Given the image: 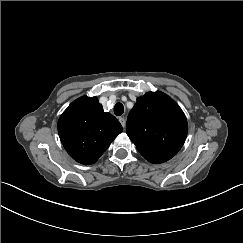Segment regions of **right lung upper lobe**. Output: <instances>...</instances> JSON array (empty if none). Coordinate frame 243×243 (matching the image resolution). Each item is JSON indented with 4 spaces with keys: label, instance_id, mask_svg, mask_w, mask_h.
Returning <instances> with one entry per match:
<instances>
[{
    "label": "right lung upper lobe",
    "instance_id": "1",
    "mask_svg": "<svg viewBox=\"0 0 243 243\" xmlns=\"http://www.w3.org/2000/svg\"><path fill=\"white\" fill-rule=\"evenodd\" d=\"M60 140L77 162L95 163L122 132L119 121L104 112L96 97L82 96L72 102L58 121Z\"/></svg>",
    "mask_w": 243,
    "mask_h": 243
}]
</instances>
